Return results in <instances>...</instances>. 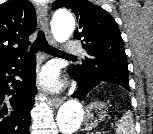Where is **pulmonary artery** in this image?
<instances>
[{
  "mask_svg": "<svg viewBox=\"0 0 153 134\" xmlns=\"http://www.w3.org/2000/svg\"><path fill=\"white\" fill-rule=\"evenodd\" d=\"M65 52L68 53V54L83 53V49L75 41H69L66 44Z\"/></svg>",
  "mask_w": 153,
  "mask_h": 134,
  "instance_id": "obj_1",
  "label": "pulmonary artery"
}]
</instances>
